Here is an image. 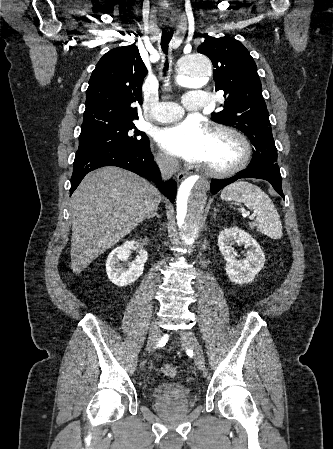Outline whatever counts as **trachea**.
<instances>
[{"label": "trachea", "instance_id": "1", "mask_svg": "<svg viewBox=\"0 0 333 449\" xmlns=\"http://www.w3.org/2000/svg\"><path fill=\"white\" fill-rule=\"evenodd\" d=\"M172 37H173L172 30L165 31L163 29L162 36H161V49L166 55L168 54V47H169V43H170ZM167 70H168V62L166 61L164 72L166 73Z\"/></svg>", "mask_w": 333, "mask_h": 449}]
</instances>
